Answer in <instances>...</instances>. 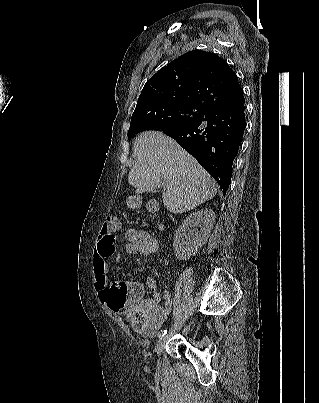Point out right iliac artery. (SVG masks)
<instances>
[{
    "label": "right iliac artery",
    "mask_w": 319,
    "mask_h": 403,
    "mask_svg": "<svg viewBox=\"0 0 319 403\" xmlns=\"http://www.w3.org/2000/svg\"><path fill=\"white\" fill-rule=\"evenodd\" d=\"M167 331H168L167 329L159 331L158 337L160 338L161 336H164L167 333Z\"/></svg>",
    "instance_id": "82829eb1"
}]
</instances>
